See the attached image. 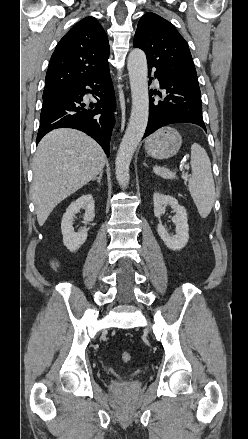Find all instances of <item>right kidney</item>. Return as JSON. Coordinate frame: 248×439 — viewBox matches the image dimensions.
<instances>
[{"label": "right kidney", "instance_id": "ca27d5eb", "mask_svg": "<svg viewBox=\"0 0 248 439\" xmlns=\"http://www.w3.org/2000/svg\"><path fill=\"white\" fill-rule=\"evenodd\" d=\"M80 209H85V223L93 220L95 217V205L91 194L82 195L76 201L72 202L62 217L61 230L63 243L71 252L77 251L80 246L84 244L88 236V229L86 227L79 232H75L73 228L75 214L78 213Z\"/></svg>", "mask_w": 248, "mask_h": 439}]
</instances>
